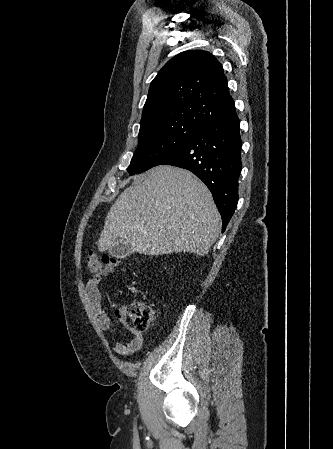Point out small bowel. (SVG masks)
Masks as SVG:
<instances>
[{"label": "small bowel", "mask_w": 333, "mask_h": 449, "mask_svg": "<svg viewBox=\"0 0 333 449\" xmlns=\"http://www.w3.org/2000/svg\"><path fill=\"white\" fill-rule=\"evenodd\" d=\"M103 282V274L92 275L86 283V292L90 307L96 318V322L102 331H107L111 327V319L102 307V295L100 285ZM126 308H119L115 311V316L122 322L126 320ZM132 334L131 340L124 343L116 341L112 349L120 355H131L142 349L145 343L143 331H137L133 327H128Z\"/></svg>", "instance_id": "obj_1"}]
</instances>
